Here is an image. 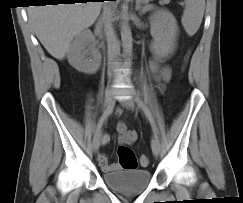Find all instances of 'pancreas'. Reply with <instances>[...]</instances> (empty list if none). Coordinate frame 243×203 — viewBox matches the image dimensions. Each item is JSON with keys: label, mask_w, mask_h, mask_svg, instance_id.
Returning <instances> with one entry per match:
<instances>
[{"label": "pancreas", "mask_w": 243, "mask_h": 203, "mask_svg": "<svg viewBox=\"0 0 243 203\" xmlns=\"http://www.w3.org/2000/svg\"><path fill=\"white\" fill-rule=\"evenodd\" d=\"M138 3L144 4L143 11L151 9V6L148 5L149 0H137ZM170 0H162L163 4H168Z\"/></svg>", "instance_id": "1"}]
</instances>
